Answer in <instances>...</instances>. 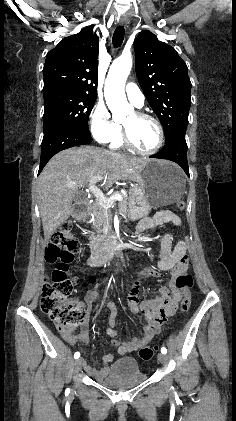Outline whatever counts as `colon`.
I'll use <instances>...</instances> for the list:
<instances>
[{"instance_id":"obj_1","label":"colon","mask_w":236,"mask_h":421,"mask_svg":"<svg viewBox=\"0 0 236 421\" xmlns=\"http://www.w3.org/2000/svg\"><path fill=\"white\" fill-rule=\"evenodd\" d=\"M176 208L184 210L185 203L179 201ZM78 250V241L72 232V224L64 223L53 235L48 245L45 258L55 264L51 275L46 280L41 292V308L60 331H70L86 322L87 316L84 307L68 300L78 281L69 273V263L73 261ZM189 261L182 257L176 266L175 284L182 293L180 313L184 314L190 309L192 276L187 272ZM90 283L96 282L91 276ZM155 346H144L139 355L143 360H150L155 353Z\"/></svg>"}]
</instances>
